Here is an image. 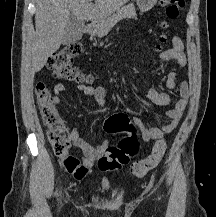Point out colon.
<instances>
[{
    "label": "colon",
    "instance_id": "obj_1",
    "mask_svg": "<svg viewBox=\"0 0 216 217\" xmlns=\"http://www.w3.org/2000/svg\"><path fill=\"white\" fill-rule=\"evenodd\" d=\"M159 2L161 6L165 7V15L170 19L176 18L184 5V0H159ZM162 27L165 28L166 24L163 23ZM165 40V37H160L161 43ZM81 50V44L70 43L53 54L49 61V68L54 78L83 84L92 81L90 75L84 74L73 66V61L80 55ZM35 94L42 121L48 128V139L54 154L61 158L68 172L77 177L81 176L82 169L79 160L69 154L70 140L64 121L55 108L53 95L43 82L37 83ZM134 127L128 115L123 112L112 114L104 122V129L108 133L132 131ZM138 148L139 143L136 140H124L115 145L107 146L98 159V168L101 171L120 169L126 166L130 158L137 154ZM166 148L165 140L158 139L154 143L149 156L144 160L134 162L130 167V172L134 176H144L160 163L165 155Z\"/></svg>",
    "mask_w": 216,
    "mask_h": 217
}]
</instances>
